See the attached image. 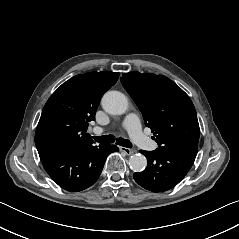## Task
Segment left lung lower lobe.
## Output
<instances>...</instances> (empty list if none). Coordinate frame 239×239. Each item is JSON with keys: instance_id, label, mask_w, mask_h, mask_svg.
Instances as JSON below:
<instances>
[{"instance_id": "left-lung-lower-lobe-1", "label": "left lung lower lobe", "mask_w": 239, "mask_h": 239, "mask_svg": "<svg viewBox=\"0 0 239 239\" xmlns=\"http://www.w3.org/2000/svg\"><path fill=\"white\" fill-rule=\"evenodd\" d=\"M148 160L147 168L134 173L135 181L152 192H162L176 186L188 173L196 158L198 148H157L140 151Z\"/></svg>"}]
</instances>
